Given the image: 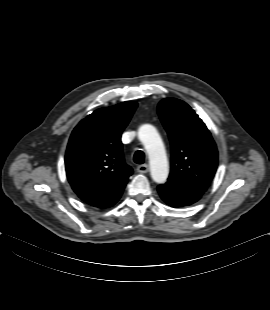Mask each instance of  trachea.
<instances>
[{
	"label": "trachea",
	"instance_id": "trachea-1",
	"mask_svg": "<svg viewBox=\"0 0 270 310\" xmlns=\"http://www.w3.org/2000/svg\"><path fill=\"white\" fill-rule=\"evenodd\" d=\"M133 160L136 164H143L144 160H145V154L143 151H136L134 156H133Z\"/></svg>",
	"mask_w": 270,
	"mask_h": 310
}]
</instances>
